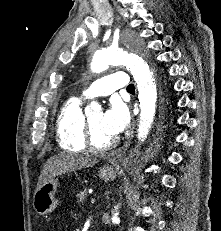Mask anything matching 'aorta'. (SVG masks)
<instances>
[{
	"mask_svg": "<svg viewBox=\"0 0 221 231\" xmlns=\"http://www.w3.org/2000/svg\"><path fill=\"white\" fill-rule=\"evenodd\" d=\"M110 65H122L130 70L138 88V99L140 106V118L137 138L143 142L151 129L155 117L157 100L156 84L153 73L148 64L138 55L122 48H105L94 52L91 69L95 73L102 72ZM91 107H98L92 103ZM117 207H115V210ZM118 221V213L112 215V223Z\"/></svg>",
	"mask_w": 221,
	"mask_h": 231,
	"instance_id": "762f6f07",
	"label": "aorta"
}]
</instances>
